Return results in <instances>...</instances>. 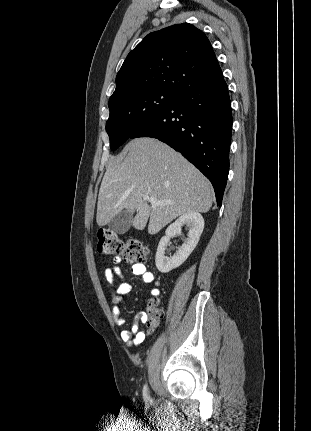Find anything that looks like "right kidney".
Instances as JSON below:
<instances>
[{
  "label": "right kidney",
  "instance_id": "1",
  "mask_svg": "<svg viewBox=\"0 0 311 431\" xmlns=\"http://www.w3.org/2000/svg\"><path fill=\"white\" fill-rule=\"evenodd\" d=\"M184 223L189 227L188 237L184 239V243L178 247L176 253L168 257V255H165L166 245H168V241H170L172 235L181 233V225H184ZM203 227L204 219L199 212H186L183 216L178 217L174 223H171L166 229V235L161 237L157 247L155 255L157 269L162 271V273H167V271L179 267L187 259L188 255H190L194 247H196Z\"/></svg>",
  "mask_w": 311,
  "mask_h": 431
}]
</instances>
